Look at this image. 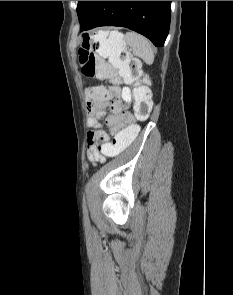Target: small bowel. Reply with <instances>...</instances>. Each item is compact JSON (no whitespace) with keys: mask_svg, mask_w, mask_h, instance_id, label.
I'll list each match as a JSON object with an SVG mask.
<instances>
[{"mask_svg":"<svg viewBox=\"0 0 233 295\" xmlns=\"http://www.w3.org/2000/svg\"><path fill=\"white\" fill-rule=\"evenodd\" d=\"M132 93L129 87H122L116 94L108 92L101 97H87V126L93 130L87 135V160L93 164L103 162L105 153L100 151L98 144H109V135L103 129L105 125L116 132L128 124H133L134 116L130 112ZM107 110L109 113L107 114Z\"/></svg>","mask_w":233,"mask_h":295,"instance_id":"c3829d8e","label":"small bowel"}]
</instances>
